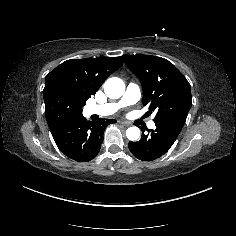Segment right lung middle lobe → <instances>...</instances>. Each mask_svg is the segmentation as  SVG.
Instances as JSON below:
<instances>
[{
	"label": "right lung middle lobe",
	"mask_w": 236,
	"mask_h": 236,
	"mask_svg": "<svg viewBox=\"0 0 236 236\" xmlns=\"http://www.w3.org/2000/svg\"><path fill=\"white\" fill-rule=\"evenodd\" d=\"M45 115L49 128L82 114L84 103L72 100L61 87H50L43 91Z\"/></svg>",
	"instance_id": "obj_1"
}]
</instances>
